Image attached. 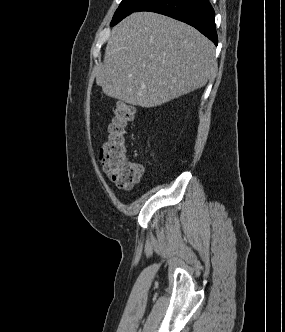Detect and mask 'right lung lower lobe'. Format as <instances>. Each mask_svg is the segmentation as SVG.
Returning a JSON list of instances; mask_svg holds the SVG:
<instances>
[{
	"mask_svg": "<svg viewBox=\"0 0 285 332\" xmlns=\"http://www.w3.org/2000/svg\"><path fill=\"white\" fill-rule=\"evenodd\" d=\"M151 11L185 22L218 44L215 13L208 0H147L134 12Z\"/></svg>",
	"mask_w": 285,
	"mask_h": 332,
	"instance_id": "obj_1",
	"label": "right lung lower lobe"
}]
</instances>
